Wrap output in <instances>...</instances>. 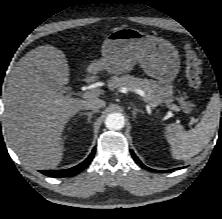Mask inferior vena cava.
Returning <instances> with one entry per match:
<instances>
[{"label":"inferior vena cava","mask_w":222,"mask_h":219,"mask_svg":"<svg viewBox=\"0 0 222 219\" xmlns=\"http://www.w3.org/2000/svg\"><path fill=\"white\" fill-rule=\"evenodd\" d=\"M103 106H104V102L102 100L96 99V100L86 103L83 109L93 110L95 112H98Z\"/></svg>","instance_id":"602c4592"}]
</instances>
